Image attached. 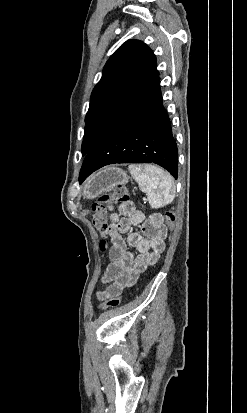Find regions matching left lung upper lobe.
Listing matches in <instances>:
<instances>
[{
	"label": "left lung upper lobe",
	"mask_w": 247,
	"mask_h": 413,
	"mask_svg": "<svg viewBox=\"0 0 247 413\" xmlns=\"http://www.w3.org/2000/svg\"><path fill=\"white\" fill-rule=\"evenodd\" d=\"M156 57L138 40L126 41L107 61L85 117L82 155L158 77Z\"/></svg>",
	"instance_id": "5c2ea615"
}]
</instances>
